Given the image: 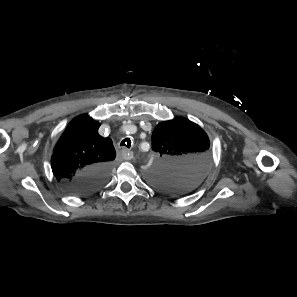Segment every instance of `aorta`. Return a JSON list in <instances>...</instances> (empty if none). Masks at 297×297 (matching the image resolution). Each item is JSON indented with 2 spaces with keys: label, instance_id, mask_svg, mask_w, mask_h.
<instances>
[{
  "label": "aorta",
  "instance_id": "obj_1",
  "mask_svg": "<svg viewBox=\"0 0 297 297\" xmlns=\"http://www.w3.org/2000/svg\"><path fill=\"white\" fill-rule=\"evenodd\" d=\"M153 172H154V171H153ZM153 172H149V176H150Z\"/></svg>",
  "mask_w": 297,
  "mask_h": 297
}]
</instances>
